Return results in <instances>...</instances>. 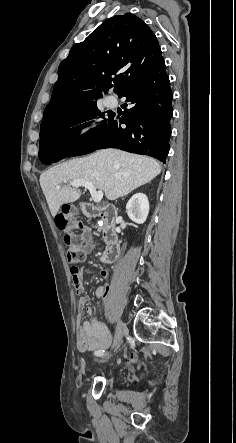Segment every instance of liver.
<instances>
[{
  "label": "liver",
  "instance_id": "6515ba94",
  "mask_svg": "<svg viewBox=\"0 0 236 443\" xmlns=\"http://www.w3.org/2000/svg\"><path fill=\"white\" fill-rule=\"evenodd\" d=\"M160 172L161 165L151 157L104 149L50 168L41 174L40 185L55 217L63 204L75 202L82 194L67 182L86 180L103 190L108 200H116L150 182Z\"/></svg>",
  "mask_w": 236,
  "mask_h": 443
}]
</instances>
